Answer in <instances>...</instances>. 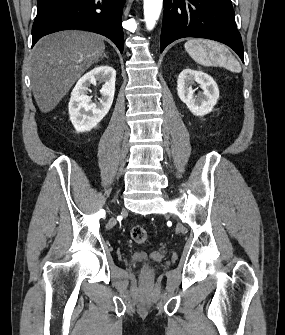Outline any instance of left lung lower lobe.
<instances>
[{
    "label": "left lung lower lobe",
    "mask_w": 285,
    "mask_h": 335,
    "mask_svg": "<svg viewBox=\"0 0 285 335\" xmlns=\"http://www.w3.org/2000/svg\"><path fill=\"white\" fill-rule=\"evenodd\" d=\"M184 37L222 42L244 62L242 39L231 0H164L160 52L171 42Z\"/></svg>",
    "instance_id": "obj_1"
}]
</instances>
